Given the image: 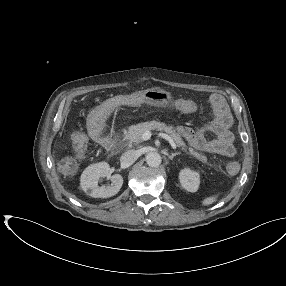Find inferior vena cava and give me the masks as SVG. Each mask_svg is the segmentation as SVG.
<instances>
[{
    "mask_svg": "<svg viewBox=\"0 0 286 286\" xmlns=\"http://www.w3.org/2000/svg\"><path fill=\"white\" fill-rule=\"evenodd\" d=\"M138 158V153L136 150H128L124 152L120 158L121 166L127 168L131 166Z\"/></svg>",
    "mask_w": 286,
    "mask_h": 286,
    "instance_id": "1",
    "label": "inferior vena cava"
}]
</instances>
